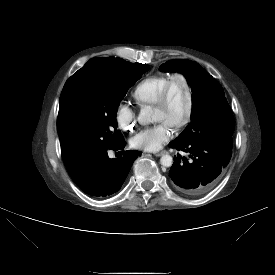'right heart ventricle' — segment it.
I'll return each instance as SVG.
<instances>
[{
	"label": "right heart ventricle",
	"mask_w": 275,
	"mask_h": 275,
	"mask_svg": "<svg viewBox=\"0 0 275 275\" xmlns=\"http://www.w3.org/2000/svg\"><path fill=\"white\" fill-rule=\"evenodd\" d=\"M169 77L170 75L168 74H156L139 82L132 92L137 105L139 107L154 105L168 82Z\"/></svg>",
	"instance_id": "obj_1"
}]
</instances>
